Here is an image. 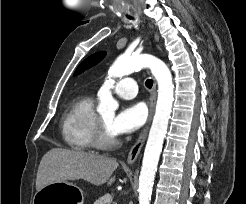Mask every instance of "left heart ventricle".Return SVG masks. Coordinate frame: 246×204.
Masks as SVG:
<instances>
[{
  "instance_id": "b2bd125f",
  "label": "left heart ventricle",
  "mask_w": 246,
  "mask_h": 204,
  "mask_svg": "<svg viewBox=\"0 0 246 204\" xmlns=\"http://www.w3.org/2000/svg\"><path fill=\"white\" fill-rule=\"evenodd\" d=\"M104 122V124L106 125L108 131L113 134L112 130H111V123L113 120V115L112 114H104L100 116Z\"/></svg>"
}]
</instances>
